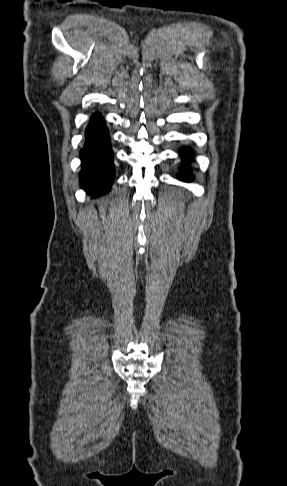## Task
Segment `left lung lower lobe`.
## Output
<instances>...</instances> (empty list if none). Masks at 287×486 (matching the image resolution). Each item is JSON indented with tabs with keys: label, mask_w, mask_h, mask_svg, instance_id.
<instances>
[{
	"label": "left lung lower lobe",
	"mask_w": 287,
	"mask_h": 486,
	"mask_svg": "<svg viewBox=\"0 0 287 486\" xmlns=\"http://www.w3.org/2000/svg\"><path fill=\"white\" fill-rule=\"evenodd\" d=\"M181 156L183 157L185 166L180 169L182 173H189L190 170L187 168V164L190 162V160L193 157V152L190 148H184L183 150L180 151ZM183 179V178H181ZM191 179L190 176H186V180L189 181Z\"/></svg>",
	"instance_id": "1"
}]
</instances>
